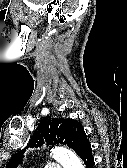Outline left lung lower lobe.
<instances>
[{"label":"left lung lower lobe","mask_w":127,"mask_h":168,"mask_svg":"<svg viewBox=\"0 0 127 168\" xmlns=\"http://www.w3.org/2000/svg\"><path fill=\"white\" fill-rule=\"evenodd\" d=\"M77 154L83 160L86 168H92L94 166L92 149L88 139H85L84 142L81 144L77 151Z\"/></svg>","instance_id":"obj_1"}]
</instances>
